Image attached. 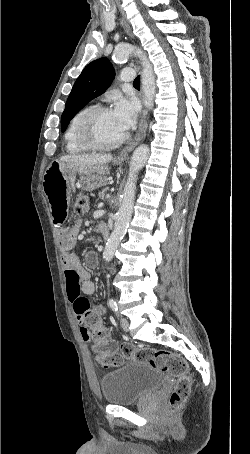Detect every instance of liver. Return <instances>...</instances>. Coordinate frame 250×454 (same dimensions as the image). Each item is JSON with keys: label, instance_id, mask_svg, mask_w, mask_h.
I'll return each mask as SVG.
<instances>
[{"label": "liver", "instance_id": "obj_1", "mask_svg": "<svg viewBox=\"0 0 250 454\" xmlns=\"http://www.w3.org/2000/svg\"><path fill=\"white\" fill-rule=\"evenodd\" d=\"M112 159L111 154H72L62 156L59 162L74 166H104Z\"/></svg>", "mask_w": 250, "mask_h": 454}]
</instances>
